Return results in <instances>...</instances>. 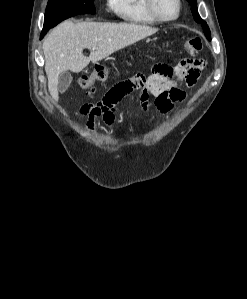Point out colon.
Segmentation results:
<instances>
[{
    "label": "colon",
    "instance_id": "obj_1",
    "mask_svg": "<svg viewBox=\"0 0 247 299\" xmlns=\"http://www.w3.org/2000/svg\"><path fill=\"white\" fill-rule=\"evenodd\" d=\"M185 47L191 55H197L202 50V40L199 37L190 38L186 41ZM108 75V68L104 65H99L91 74L82 76L79 84L83 89L92 92L95 83L104 81Z\"/></svg>",
    "mask_w": 247,
    "mask_h": 299
}]
</instances>
